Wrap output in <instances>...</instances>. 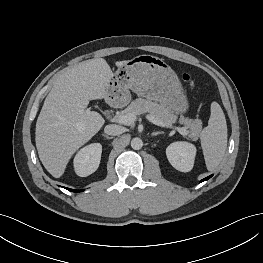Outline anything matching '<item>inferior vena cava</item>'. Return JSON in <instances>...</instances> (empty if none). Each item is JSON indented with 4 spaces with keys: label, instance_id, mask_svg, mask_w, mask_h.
Wrapping results in <instances>:
<instances>
[{
    "label": "inferior vena cava",
    "instance_id": "inferior-vena-cava-1",
    "mask_svg": "<svg viewBox=\"0 0 263 263\" xmlns=\"http://www.w3.org/2000/svg\"><path fill=\"white\" fill-rule=\"evenodd\" d=\"M104 131L108 135L116 136L125 132V128L116 124H110L104 128Z\"/></svg>",
    "mask_w": 263,
    "mask_h": 263
}]
</instances>
